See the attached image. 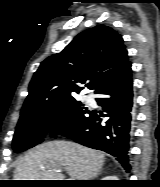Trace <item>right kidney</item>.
Returning <instances> with one entry per match:
<instances>
[{
	"label": "right kidney",
	"instance_id": "ca27d5eb",
	"mask_svg": "<svg viewBox=\"0 0 160 187\" xmlns=\"http://www.w3.org/2000/svg\"><path fill=\"white\" fill-rule=\"evenodd\" d=\"M103 180H118V178H116V176H107L103 178Z\"/></svg>",
	"mask_w": 160,
	"mask_h": 187
}]
</instances>
